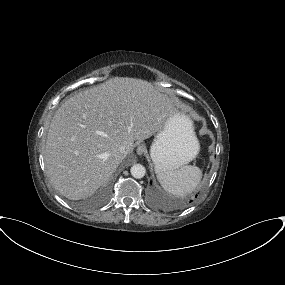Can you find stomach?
I'll use <instances>...</instances> for the list:
<instances>
[{"instance_id":"obj_1","label":"stomach","mask_w":285,"mask_h":285,"mask_svg":"<svg viewBox=\"0 0 285 285\" xmlns=\"http://www.w3.org/2000/svg\"><path fill=\"white\" fill-rule=\"evenodd\" d=\"M199 152V143L192 122L178 115L156 135L150 149L158 171H174L193 160Z\"/></svg>"}]
</instances>
